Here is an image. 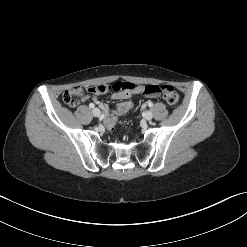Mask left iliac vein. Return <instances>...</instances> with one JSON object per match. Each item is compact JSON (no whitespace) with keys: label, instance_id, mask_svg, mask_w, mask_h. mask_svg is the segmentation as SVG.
<instances>
[{"label":"left iliac vein","instance_id":"obj_1","mask_svg":"<svg viewBox=\"0 0 247 247\" xmlns=\"http://www.w3.org/2000/svg\"><path fill=\"white\" fill-rule=\"evenodd\" d=\"M153 118V114L151 111H146L144 114V119L150 121Z\"/></svg>","mask_w":247,"mask_h":247}]
</instances>
